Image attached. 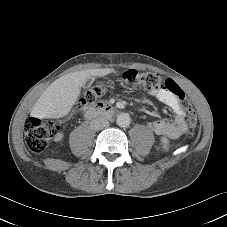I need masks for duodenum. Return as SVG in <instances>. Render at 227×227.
<instances>
[{
    "instance_id": "obj_1",
    "label": "duodenum",
    "mask_w": 227,
    "mask_h": 227,
    "mask_svg": "<svg viewBox=\"0 0 227 227\" xmlns=\"http://www.w3.org/2000/svg\"><path fill=\"white\" fill-rule=\"evenodd\" d=\"M116 113H118V109L107 103H97L88 106L84 111V115L88 119H92L98 116L110 117L115 115Z\"/></svg>"
}]
</instances>
